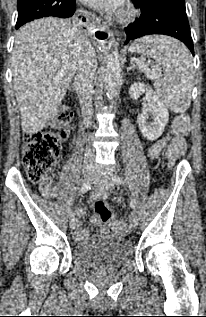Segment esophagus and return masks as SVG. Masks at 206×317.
I'll use <instances>...</instances> for the list:
<instances>
[{
    "label": "esophagus",
    "instance_id": "34e87169",
    "mask_svg": "<svg viewBox=\"0 0 206 317\" xmlns=\"http://www.w3.org/2000/svg\"><path fill=\"white\" fill-rule=\"evenodd\" d=\"M94 38L99 42V43H106L114 40V34L110 30V28L105 24V23H100L95 28L92 30Z\"/></svg>",
    "mask_w": 206,
    "mask_h": 317
}]
</instances>
